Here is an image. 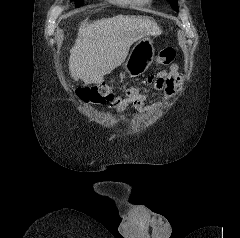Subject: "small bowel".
Returning a JSON list of instances; mask_svg holds the SVG:
<instances>
[{
  "label": "small bowel",
  "mask_w": 240,
  "mask_h": 238,
  "mask_svg": "<svg viewBox=\"0 0 240 238\" xmlns=\"http://www.w3.org/2000/svg\"><path fill=\"white\" fill-rule=\"evenodd\" d=\"M181 81L182 75L179 72V66L173 64L169 71H161L145 79L144 84L150 85L153 90L164 91L166 97L170 98L177 91ZM146 99V92L141 91L138 87L131 86L126 88L123 96L115 98L110 106L119 113L130 106L138 111H144L146 109Z\"/></svg>",
  "instance_id": "1"
}]
</instances>
